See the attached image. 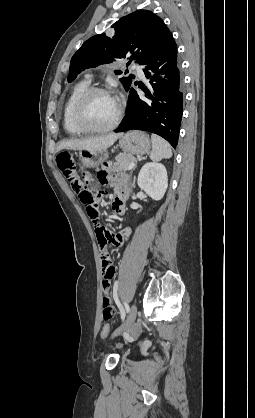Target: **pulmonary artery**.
Returning a JSON list of instances; mask_svg holds the SVG:
<instances>
[{"label":"pulmonary artery","instance_id":"pulmonary-artery-1","mask_svg":"<svg viewBox=\"0 0 255 418\" xmlns=\"http://www.w3.org/2000/svg\"><path fill=\"white\" fill-rule=\"evenodd\" d=\"M136 69H137V71H138L139 76H140L141 78H143V77H144V73H143V71H142L141 69H139L138 67H136Z\"/></svg>","mask_w":255,"mask_h":418}]
</instances>
